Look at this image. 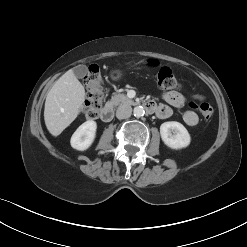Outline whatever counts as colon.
Segmentation results:
<instances>
[{"label": "colon", "instance_id": "5ec220e1", "mask_svg": "<svg viewBox=\"0 0 247 247\" xmlns=\"http://www.w3.org/2000/svg\"><path fill=\"white\" fill-rule=\"evenodd\" d=\"M150 64L156 68L155 79L158 86L164 90H175L179 87V82L173 71L166 66H159L157 62L151 61ZM84 84L88 91V97L84 106V115L87 119L98 117L103 105L102 76L96 65H91L84 77ZM193 108L198 110L205 118H211L213 108L208 103L194 104Z\"/></svg>", "mask_w": 247, "mask_h": 247}]
</instances>
